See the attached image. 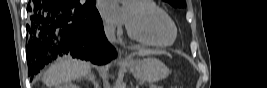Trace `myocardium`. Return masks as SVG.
Segmentation results:
<instances>
[{
    "instance_id": "myocardium-1",
    "label": "myocardium",
    "mask_w": 267,
    "mask_h": 88,
    "mask_svg": "<svg viewBox=\"0 0 267 88\" xmlns=\"http://www.w3.org/2000/svg\"><path fill=\"white\" fill-rule=\"evenodd\" d=\"M132 3L138 4V5H142V6H146L149 9L153 10L154 12H156V13H158L160 15H163L166 18H168L169 21L171 22V24L173 25V28H174V37H173L172 41H170V42H162V41L152 40V39H149V38H147V37L135 32L134 30H132L127 25L126 29H127V33L129 34L130 37H132V38H134V39H136V40H138L140 42H143V43H146V44H150V45H154V46H169V45H172L175 42V40L177 38V35H178V29H177V26H176L175 22L171 19V17L168 14L163 12L161 9L150 7L148 4H146L142 0L132 1Z\"/></svg>"
}]
</instances>
